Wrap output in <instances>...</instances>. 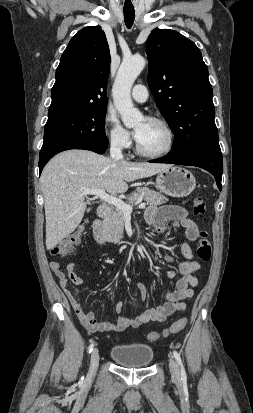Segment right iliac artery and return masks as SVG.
<instances>
[{
	"instance_id": "1",
	"label": "right iliac artery",
	"mask_w": 253,
	"mask_h": 413,
	"mask_svg": "<svg viewBox=\"0 0 253 413\" xmlns=\"http://www.w3.org/2000/svg\"><path fill=\"white\" fill-rule=\"evenodd\" d=\"M93 347H94V344H93V343L89 345V347H88V352H89V353L92 352ZM82 380H83V378H82Z\"/></svg>"
}]
</instances>
